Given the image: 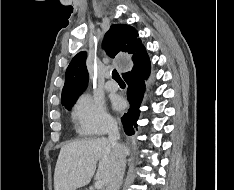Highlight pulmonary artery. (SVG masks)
Listing matches in <instances>:
<instances>
[{"mask_svg":"<svg viewBox=\"0 0 234 190\" xmlns=\"http://www.w3.org/2000/svg\"><path fill=\"white\" fill-rule=\"evenodd\" d=\"M107 77H109V75H107ZM105 88L108 91H116L118 89V84L114 81L109 80L106 82Z\"/></svg>","mask_w":234,"mask_h":190,"instance_id":"pulmonary-artery-1","label":"pulmonary artery"}]
</instances>
